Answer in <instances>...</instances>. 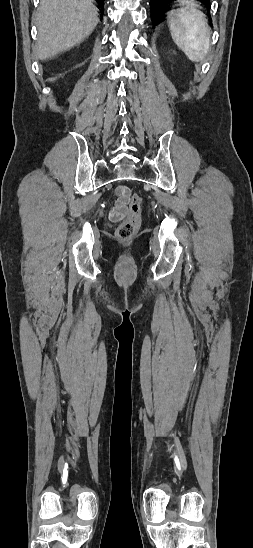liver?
I'll use <instances>...</instances> for the list:
<instances>
[{
	"label": "liver",
	"mask_w": 253,
	"mask_h": 548,
	"mask_svg": "<svg viewBox=\"0 0 253 548\" xmlns=\"http://www.w3.org/2000/svg\"><path fill=\"white\" fill-rule=\"evenodd\" d=\"M99 22L91 0H41L36 57L46 60L84 41Z\"/></svg>",
	"instance_id": "1"
}]
</instances>
